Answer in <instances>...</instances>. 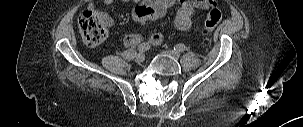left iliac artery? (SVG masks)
Returning a JSON list of instances; mask_svg holds the SVG:
<instances>
[{
  "instance_id": "left-iliac-artery-1",
  "label": "left iliac artery",
  "mask_w": 303,
  "mask_h": 127,
  "mask_svg": "<svg viewBox=\"0 0 303 127\" xmlns=\"http://www.w3.org/2000/svg\"><path fill=\"white\" fill-rule=\"evenodd\" d=\"M186 47L183 44H178L174 47V50L177 52H184Z\"/></svg>"
}]
</instances>
